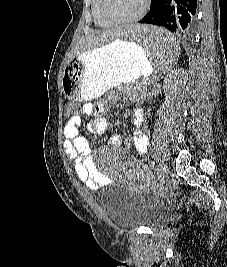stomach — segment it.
<instances>
[{
	"instance_id": "stomach-1",
	"label": "stomach",
	"mask_w": 227,
	"mask_h": 267,
	"mask_svg": "<svg viewBox=\"0 0 227 267\" xmlns=\"http://www.w3.org/2000/svg\"><path fill=\"white\" fill-rule=\"evenodd\" d=\"M152 71L153 63H149L144 47L117 38L72 58L64 69L63 82L58 83L69 101H89Z\"/></svg>"
}]
</instances>
